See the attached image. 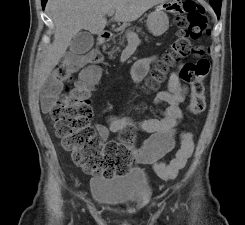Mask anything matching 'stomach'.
Wrapping results in <instances>:
<instances>
[{
    "label": "stomach",
    "mask_w": 245,
    "mask_h": 225,
    "mask_svg": "<svg viewBox=\"0 0 245 225\" xmlns=\"http://www.w3.org/2000/svg\"><path fill=\"white\" fill-rule=\"evenodd\" d=\"M166 9L164 4H160L148 15L146 24L153 36H161L169 28V17Z\"/></svg>",
    "instance_id": "obj_1"
}]
</instances>
